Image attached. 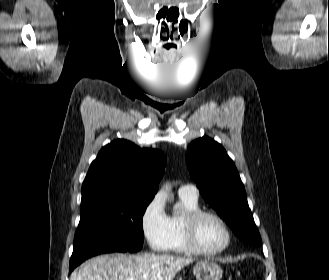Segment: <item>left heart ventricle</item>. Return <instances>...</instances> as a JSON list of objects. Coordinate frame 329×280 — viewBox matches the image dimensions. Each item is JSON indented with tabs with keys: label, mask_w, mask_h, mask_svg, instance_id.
I'll return each instance as SVG.
<instances>
[{
	"label": "left heart ventricle",
	"mask_w": 329,
	"mask_h": 280,
	"mask_svg": "<svg viewBox=\"0 0 329 280\" xmlns=\"http://www.w3.org/2000/svg\"><path fill=\"white\" fill-rule=\"evenodd\" d=\"M197 239L202 248L212 251L224 245L226 233L217 220L204 217L198 223Z\"/></svg>",
	"instance_id": "b2bd125f"
}]
</instances>
